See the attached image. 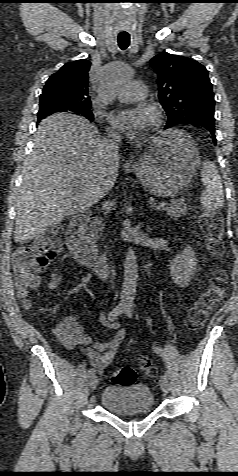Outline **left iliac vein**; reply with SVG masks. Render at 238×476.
<instances>
[{
  "label": "left iliac vein",
  "mask_w": 238,
  "mask_h": 476,
  "mask_svg": "<svg viewBox=\"0 0 238 476\" xmlns=\"http://www.w3.org/2000/svg\"><path fill=\"white\" fill-rule=\"evenodd\" d=\"M160 387L161 389L165 392V393H168L169 390H170V384H169V380H168V377L166 375H162L160 377Z\"/></svg>",
  "instance_id": "4c4485c4"
}]
</instances>
